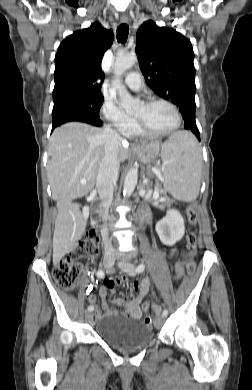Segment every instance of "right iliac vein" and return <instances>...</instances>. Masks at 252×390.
I'll use <instances>...</instances> for the list:
<instances>
[{
    "label": "right iliac vein",
    "mask_w": 252,
    "mask_h": 390,
    "mask_svg": "<svg viewBox=\"0 0 252 390\" xmlns=\"http://www.w3.org/2000/svg\"><path fill=\"white\" fill-rule=\"evenodd\" d=\"M114 257H106L104 260H103V265L104 267L107 269V270H111L113 265H114ZM92 318H93V315L91 314V312H87L86 313V320L88 322H91L92 321Z\"/></svg>",
    "instance_id": "obj_1"
}]
</instances>
